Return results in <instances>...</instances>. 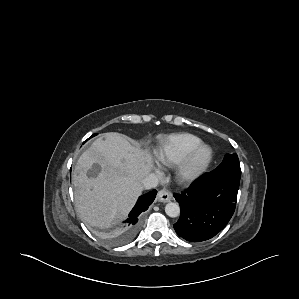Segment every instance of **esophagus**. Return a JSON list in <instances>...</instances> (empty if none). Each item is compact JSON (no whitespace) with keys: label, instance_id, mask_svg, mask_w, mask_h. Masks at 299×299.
<instances>
[{"label":"esophagus","instance_id":"esophagus-1","mask_svg":"<svg viewBox=\"0 0 299 299\" xmlns=\"http://www.w3.org/2000/svg\"><path fill=\"white\" fill-rule=\"evenodd\" d=\"M171 199H172L171 193L165 189L160 190L156 197V201L161 203L168 202Z\"/></svg>","mask_w":299,"mask_h":299}]
</instances>
